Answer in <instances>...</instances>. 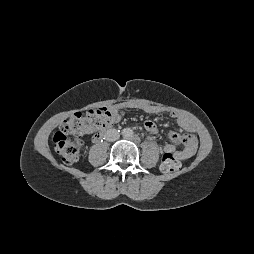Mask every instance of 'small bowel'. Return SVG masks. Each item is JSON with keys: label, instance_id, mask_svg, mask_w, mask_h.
<instances>
[{"label": "small bowel", "instance_id": "small-bowel-1", "mask_svg": "<svg viewBox=\"0 0 254 254\" xmlns=\"http://www.w3.org/2000/svg\"><path fill=\"white\" fill-rule=\"evenodd\" d=\"M114 108L116 110V117L114 123H116L120 119L119 111L121 109V106H115ZM140 108L149 113L157 112L155 108L148 106H140ZM178 123L182 128L187 130L188 133L183 135L176 132L170 133L169 137L171 139V143L163 144L161 150L164 155L170 154L173 155L177 160H186L191 158L196 152L197 137L193 132L192 124L187 119L180 117L178 119ZM144 127L148 132L152 134H156L158 131L156 124L151 120L145 121ZM179 143L183 144V148L181 150H177V144Z\"/></svg>", "mask_w": 254, "mask_h": 254}]
</instances>
